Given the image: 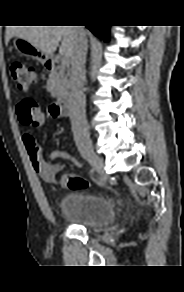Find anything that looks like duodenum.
<instances>
[{"mask_svg": "<svg viewBox=\"0 0 184 292\" xmlns=\"http://www.w3.org/2000/svg\"><path fill=\"white\" fill-rule=\"evenodd\" d=\"M57 62L55 59H50L47 63V68L50 71L56 70ZM75 95L73 93H65L60 96L51 107L53 115H59L61 117L70 116L73 112L75 105Z\"/></svg>", "mask_w": 184, "mask_h": 292, "instance_id": "duodenum-1", "label": "duodenum"}]
</instances>
